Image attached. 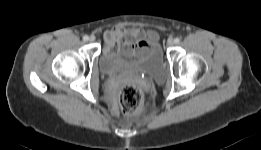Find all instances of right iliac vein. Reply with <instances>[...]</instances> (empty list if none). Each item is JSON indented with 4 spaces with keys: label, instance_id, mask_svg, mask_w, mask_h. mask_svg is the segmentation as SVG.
<instances>
[{
    "label": "right iliac vein",
    "instance_id": "obj_1",
    "mask_svg": "<svg viewBox=\"0 0 261 150\" xmlns=\"http://www.w3.org/2000/svg\"><path fill=\"white\" fill-rule=\"evenodd\" d=\"M95 39H96L95 36L92 35V36H90L89 41H90V42H94Z\"/></svg>",
    "mask_w": 261,
    "mask_h": 150
}]
</instances>
